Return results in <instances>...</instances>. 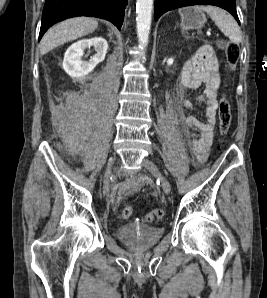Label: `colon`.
<instances>
[{
	"label": "colon",
	"instance_id": "colon-1",
	"mask_svg": "<svg viewBox=\"0 0 267 298\" xmlns=\"http://www.w3.org/2000/svg\"><path fill=\"white\" fill-rule=\"evenodd\" d=\"M219 47L224 51L227 59V63L230 67H234L239 58V46L233 42L221 41L219 42ZM218 118H219V133L221 136H225L230 128L231 124V106L230 101L226 94H223L219 101L218 108ZM134 214V209L130 205H126L121 210V216L123 219H130ZM164 216V211L160 208H156L149 213H147L142 221L145 223H150L155 220H160Z\"/></svg>",
	"mask_w": 267,
	"mask_h": 298
}]
</instances>
